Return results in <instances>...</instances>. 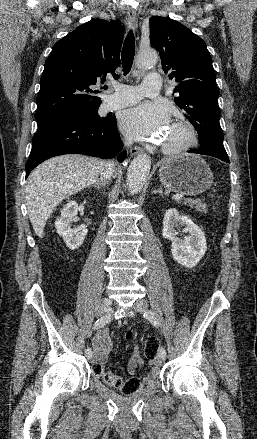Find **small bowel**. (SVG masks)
Here are the masks:
<instances>
[{
    "instance_id": "obj_1",
    "label": "small bowel",
    "mask_w": 257,
    "mask_h": 439,
    "mask_svg": "<svg viewBox=\"0 0 257 439\" xmlns=\"http://www.w3.org/2000/svg\"><path fill=\"white\" fill-rule=\"evenodd\" d=\"M91 343L96 357L95 360H98L101 364L104 363L113 347V340L108 329L104 328L97 331L93 336ZM143 365L144 362L140 357L139 350L137 347H135L128 360V373L132 376L135 375L138 369L143 367ZM149 365L151 367L150 371L142 380L144 384H150L153 382L159 373V369L155 361H150Z\"/></svg>"
}]
</instances>
